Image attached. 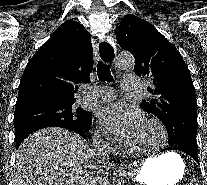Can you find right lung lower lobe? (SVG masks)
I'll list each match as a JSON object with an SVG mask.
<instances>
[{
    "instance_id": "1",
    "label": "right lung lower lobe",
    "mask_w": 207,
    "mask_h": 185,
    "mask_svg": "<svg viewBox=\"0 0 207 185\" xmlns=\"http://www.w3.org/2000/svg\"><path fill=\"white\" fill-rule=\"evenodd\" d=\"M91 125H89L88 127L84 128V129H70L74 132H77L79 135L81 136H85V133H87L90 129ZM30 135V134H28ZM28 135H23L20 138L16 139V149H18V147L20 146V144L23 142V140L28 136Z\"/></svg>"
}]
</instances>
